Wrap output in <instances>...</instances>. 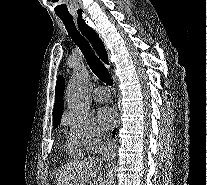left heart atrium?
I'll list each match as a JSON object with an SVG mask.
<instances>
[{
	"mask_svg": "<svg viewBox=\"0 0 207 185\" xmlns=\"http://www.w3.org/2000/svg\"><path fill=\"white\" fill-rule=\"evenodd\" d=\"M116 112L109 107H102L98 111V119L103 128L108 129L116 122Z\"/></svg>",
	"mask_w": 207,
	"mask_h": 185,
	"instance_id": "1",
	"label": "left heart atrium"
}]
</instances>
